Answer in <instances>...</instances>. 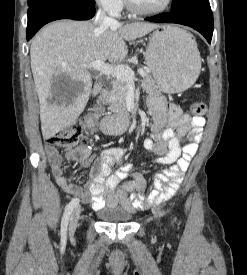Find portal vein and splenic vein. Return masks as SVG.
I'll return each mask as SVG.
<instances>
[{
  "label": "portal vein and splenic vein",
  "mask_w": 247,
  "mask_h": 275,
  "mask_svg": "<svg viewBox=\"0 0 247 275\" xmlns=\"http://www.w3.org/2000/svg\"><path fill=\"white\" fill-rule=\"evenodd\" d=\"M89 69H93L103 75H111L113 77H116L117 79H122L127 81L130 86H133V79H134V71L128 66L125 65H109L106 64L104 61L97 60L93 63L88 65ZM138 73L141 76H145L146 72L144 69H139Z\"/></svg>",
  "instance_id": "18ae733b"
}]
</instances>
